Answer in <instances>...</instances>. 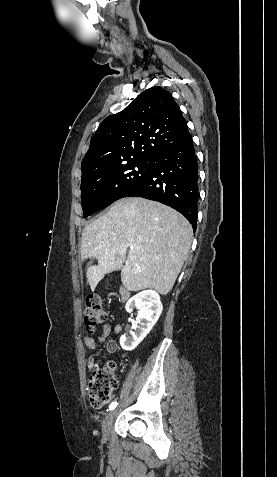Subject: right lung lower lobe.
Masks as SVG:
<instances>
[{
	"instance_id": "obj_1",
	"label": "right lung lower lobe",
	"mask_w": 277,
	"mask_h": 477,
	"mask_svg": "<svg viewBox=\"0 0 277 477\" xmlns=\"http://www.w3.org/2000/svg\"><path fill=\"white\" fill-rule=\"evenodd\" d=\"M144 179L124 197L138 196L166 204L197 227L198 163L191 135L158 154Z\"/></svg>"
}]
</instances>
